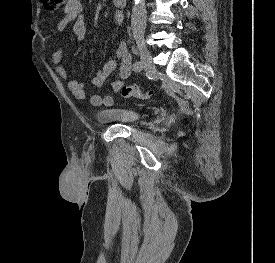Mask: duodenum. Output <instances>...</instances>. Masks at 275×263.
<instances>
[{"instance_id": "410a0bca", "label": "duodenum", "mask_w": 275, "mask_h": 263, "mask_svg": "<svg viewBox=\"0 0 275 263\" xmlns=\"http://www.w3.org/2000/svg\"><path fill=\"white\" fill-rule=\"evenodd\" d=\"M113 2L117 7H125L127 4V0H113Z\"/></svg>"}]
</instances>
